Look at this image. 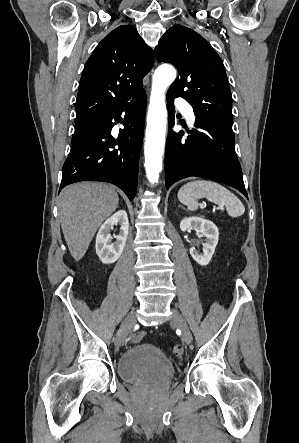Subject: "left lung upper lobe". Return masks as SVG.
<instances>
[{
  "label": "left lung upper lobe",
  "instance_id": "left-lung-upper-lobe-1",
  "mask_svg": "<svg viewBox=\"0 0 299 443\" xmlns=\"http://www.w3.org/2000/svg\"><path fill=\"white\" fill-rule=\"evenodd\" d=\"M155 55L179 72L167 94L188 101L197 117L232 130V97L224 65L201 35L174 25L159 40Z\"/></svg>",
  "mask_w": 299,
  "mask_h": 443
}]
</instances>
